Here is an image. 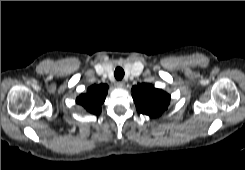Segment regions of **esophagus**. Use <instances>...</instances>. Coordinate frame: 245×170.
<instances>
[{
  "label": "esophagus",
  "instance_id": "obj_1",
  "mask_svg": "<svg viewBox=\"0 0 245 170\" xmlns=\"http://www.w3.org/2000/svg\"><path fill=\"white\" fill-rule=\"evenodd\" d=\"M116 86L118 88H124L125 87V83L123 81H118V82H116Z\"/></svg>",
  "mask_w": 245,
  "mask_h": 170
}]
</instances>
